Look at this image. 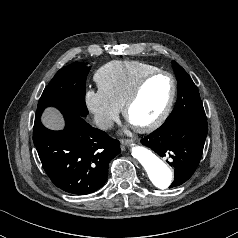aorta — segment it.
Instances as JSON below:
<instances>
[{
    "instance_id": "1",
    "label": "aorta",
    "mask_w": 238,
    "mask_h": 238,
    "mask_svg": "<svg viewBox=\"0 0 238 238\" xmlns=\"http://www.w3.org/2000/svg\"><path fill=\"white\" fill-rule=\"evenodd\" d=\"M131 154L143 166L154 186L159 189H166L170 186L172 172L159 157L139 145L132 146Z\"/></svg>"
}]
</instances>
